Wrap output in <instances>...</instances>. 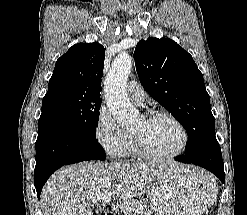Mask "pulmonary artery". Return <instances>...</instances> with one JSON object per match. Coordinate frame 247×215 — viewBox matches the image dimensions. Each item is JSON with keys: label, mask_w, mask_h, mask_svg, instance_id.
Wrapping results in <instances>:
<instances>
[{"label": "pulmonary artery", "mask_w": 247, "mask_h": 215, "mask_svg": "<svg viewBox=\"0 0 247 215\" xmlns=\"http://www.w3.org/2000/svg\"><path fill=\"white\" fill-rule=\"evenodd\" d=\"M127 92L130 100L135 104H141L147 96L143 87L136 80H131L127 84Z\"/></svg>", "instance_id": "1"}]
</instances>
